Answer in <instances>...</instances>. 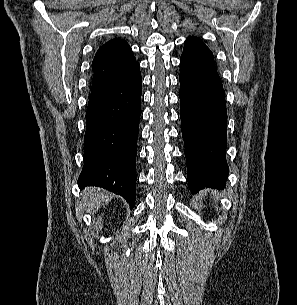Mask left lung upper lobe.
<instances>
[{
  "mask_svg": "<svg viewBox=\"0 0 297 305\" xmlns=\"http://www.w3.org/2000/svg\"><path fill=\"white\" fill-rule=\"evenodd\" d=\"M215 68L213 53L197 37H188L180 60V69Z\"/></svg>",
  "mask_w": 297,
  "mask_h": 305,
  "instance_id": "5c2ea615",
  "label": "left lung upper lobe"
}]
</instances>
